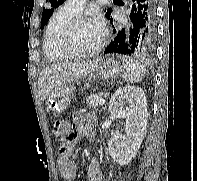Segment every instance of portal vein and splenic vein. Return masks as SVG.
I'll list each match as a JSON object with an SVG mask.
<instances>
[{
	"mask_svg": "<svg viewBox=\"0 0 197 181\" xmlns=\"http://www.w3.org/2000/svg\"><path fill=\"white\" fill-rule=\"evenodd\" d=\"M105 99H101L100 101H99V105H103V104H105Z\"/></svg>",
	"mask_w": 197,
	"mask_h": 181,
	"instance_id": "obj_1",
	"label": "portal vein and splenic vein"
}]
</instances>
